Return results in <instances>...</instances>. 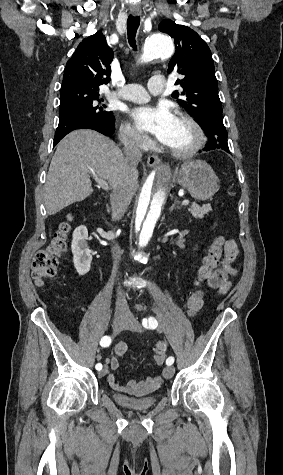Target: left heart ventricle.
<instances>
[{"label":"left heart ventricle","instance_id":"left-heart-ventricle-1","mask_svg":"<svg viewBox=\"0 0 283 475\" xmlns=\"http://www.w3.org/2000/svg\"><path fill=\"white\" fill-rule=\"evenodd\" d=\"M170 133H172L171 137L164 144L171 150H184L192 144L195 138L193 128L179 117L175 118Z\"/></svg>","mask_w":283,"mask_h":475}]
</instances>
